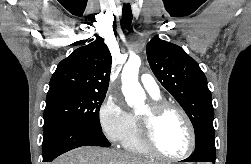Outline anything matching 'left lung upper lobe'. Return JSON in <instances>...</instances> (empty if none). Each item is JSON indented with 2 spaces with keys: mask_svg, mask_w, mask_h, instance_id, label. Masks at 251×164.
<instances>
[{
  "mask_svg": "<svg viewBox=\"0 0 251 164\" xmlns=\"http://www.w3.org/2000/svg\"><path fill=\"white\" fill-rule=\"evenodd\" d=\"M146 52L157 79L189 116L195 130V147L205 143L215 151L212 97L198 63L181 47L158 37L150 40Z\"/></svg>",
  "mask_w": 251,
  "mask_h": 164,
  "instance_id": "1",
  "label": "left lung upper lobe"
}]
</instances>
